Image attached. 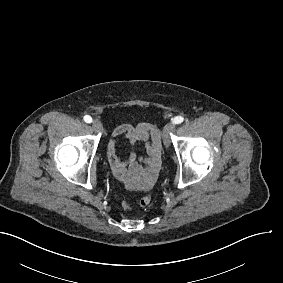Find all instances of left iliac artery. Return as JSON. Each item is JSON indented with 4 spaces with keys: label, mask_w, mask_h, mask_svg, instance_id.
I'll return each instance as SVG.
<instances>
[{
    "label": "left iliac artery",
    "mask_w": 283,
    "mask_h": 283,
    "mask_svg": "<svg viewBox=\"0 0 283 283\" xmlns=\"http://www.w3.org/2000/svg\"><path fill=\"white\" fill-rule=\"evenodd\" d=\"M183 120H184L183 117H181V116H176L174 119H172V122H173L174 124H180V123L183 122Z\"/></svg>",
    "instance_id": "44dca946"
}]
</instances>
